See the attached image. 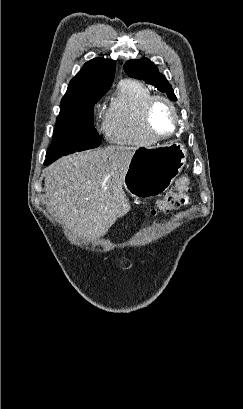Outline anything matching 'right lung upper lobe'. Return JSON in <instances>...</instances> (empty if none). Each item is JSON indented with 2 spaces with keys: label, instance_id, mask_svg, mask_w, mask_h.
Returning <instances> with one entry per match:
<instances>
[{
  "label": "right lung upper lobe",
  "instance_id": "1",
  "mask_svg": "<svg viewBox=\"0 0 243 409\" xmlns=\"http://www.w3.org/2000/svg\"><path fill=\"white\" fill-rule=\"evenodd\" d=\"M116 63L112 59L94 58L86 62L70 81L60 106H87L98 101L111 87Z\"/></svg>",
  "mask_w": 243,
  "mask_h": 409
}]
</instances>
